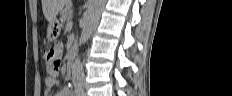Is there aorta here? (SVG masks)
<instances>
[{
	"label": "aorta",
	"instance_id": "obj_1",
	"mask_svg": "<svg viewBox=\"0 0 232 96\" xmlns=\"http://www.w3.org/2000/svg\"><path fill=\"white\" fill-rule=\"evenodd\" d=\"M104 4L105 0H89L85 23L79 39L80 45L86 43L90 38L93 28L99 20ZM73 74L75 76L83 75V65L79 58H77L73 64Z\"/></svg>",
	"mask_w": 232,
	"mask_h": 96
}]
</instances>
